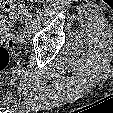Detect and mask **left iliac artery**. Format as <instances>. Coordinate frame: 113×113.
Returning <instances> with one entry per match:
<instances>
[{"label":"left iliac artery","instance_id":"left-iliac-artery-1","mask_svg":"<svg viewBox=\"0 0 113 113\" xmlns=\"http://www.w3.org/2000/svg\"><path fill=\"white\" fill-rule=\"evenodd\" d=\"M30 22H32V15H28L27 17H26V19H25V27H27V33H28V36H30V34H31V29L29 28V24H30Z\"/></svg>","mask_w":113,"mask_h":113}]
</instances>
